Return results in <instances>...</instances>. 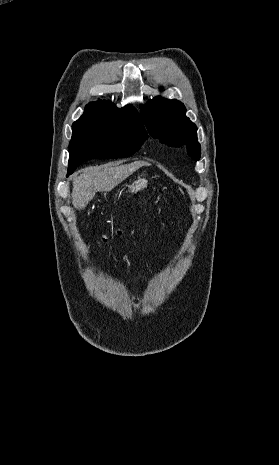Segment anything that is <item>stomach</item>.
<instances>
[{
	"label": "stomach",
	"mask_w": 279,
	"mask_h": 465,
	"mask_svg": "<svg viewBox=\"0 0 279 465\" xmlns=\"http://www.w3.org/2000/svg\"><path fill=\"white\" fill-rule=\"evenodd\" d=\"M148 185V181L145 178L138 177L130 185H127L126 193H137L142 191Z\"/></svg>",
	"instance_id": "obj_1"
}]
</instances>
